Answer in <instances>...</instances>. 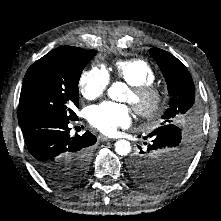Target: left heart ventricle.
<instances>
[{
	"label": "left heart ventricle",
	"mask_w": 221,
	"mask_h": 221,
	"mask_svg": "<svg viewBox=\"0 0 221 221\" xmlns=\"http://www.w3.org/2000/svg\"><path fill=\"white\" fill-rule=\"evenodd\" d=\"M126 100L129 101V102L132 101V94H131L130 91L127 93Z\"/></svg>",
	"instance_id": "left-heart-ventricle-1"
}]
</instances>
